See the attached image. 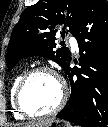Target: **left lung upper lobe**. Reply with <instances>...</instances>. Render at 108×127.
Returning a JSON list of instances; mask_svg holds the SVG:
<instances>
[{
  "mask_svg": "<svg viewBox=\"0 0 108 127\" xmlns=\"http://www.w3.org/2000/svg\"><path fill=\"white\" fill-rule=\"evenodd\" d=\"M86 0H39L28 7L20 16L19 22L11 34L7 62L11 69L20 59L31 56H42L58 63L64 70L70 61L67 47L56 50L55 35L74 34ZM60 28L63 30L60 31ZM89 77L93 86L98 87L100 67L92 64Z\"/></svg>",
  "mask_w": 108,
  "mask_h": 127,
  "instance_id": "5c2ea615",
  "label": "left lung upper lobe"
}]
</instances>
